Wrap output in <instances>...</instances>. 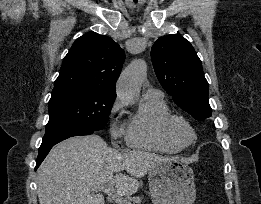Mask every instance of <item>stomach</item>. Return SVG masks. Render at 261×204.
Returning <instances> with one entry per match:
<instances>
[{
	"label": "stomach",
	"mask_w": 261,
	"mask_h": 204,
	"mask_svg": "<svg viewBox=\"0 0 261 204\" xmlns=\"http://www.w3.org/2000/svg\"><path fill=\"white\" fill-rule=\"evenodd\" d=\"M153 204H193L196 198L194 172L182 160L170 159L148 171Z\"/></svg>",
	"instance_id": "obj_1"
}]
</instances>
